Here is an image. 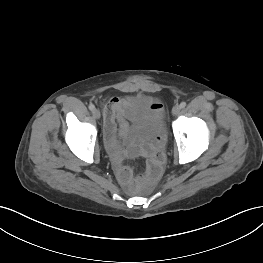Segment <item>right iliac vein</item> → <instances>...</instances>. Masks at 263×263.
<instances>
[{
    "instance_id": "1",
    "label": "right iliac vein",
    "mask_w": 263,
    "mask_h": 263,
    "mask_svg": "<svg viewBox=\"0 0 263 263\" xmlns=\"http://www.w3.org/2000/svg\"><path fill=\"white\" fill-rule=\"evenodd\" d=\"M93 115L96 119H100L101 117L100 111L98 109L93 110Z\"/></svg>"
}]
</instances>
